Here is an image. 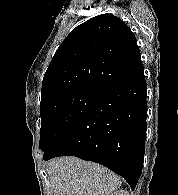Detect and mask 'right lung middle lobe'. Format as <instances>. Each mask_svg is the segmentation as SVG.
<instances>
[{"label": "right lung middle lobe", "mask_w": 178, "mask_h": 195, "mask_svg": "<svg viewBox=\"0 0 178 195\" xmlns=\"http://www.w3.org/2000/svg\"><path fill=\"white\" fill-rule=\"evenodd\" d=\"M99 91L80 89L52 96L40 104L42 119L39 148L52 152L77 125L93 104Z\"/></svg>", "instance_id": "right-lung-middle-lobe-1"}]
</instances>
